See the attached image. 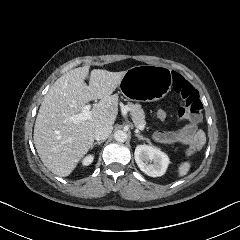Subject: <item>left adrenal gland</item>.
<instances>
[{
	"label": "left adrenal gland",
	"instance_id": "1",
	"mask_svg": "<svg viewBox=\"0 0 240 240\" xmlns=\"http://www.w3.org/2000/svg\"><path fill=\"white\" fill-rule=\"evenodd\" d=\"M136 136L139 138V139H144V140H148V141H150V139L149 138H147V137H144L143 135H141V134H136Z\"/></svg>",
	"mask_w": 240,
	"mask_h": 240
}]
</instances>
